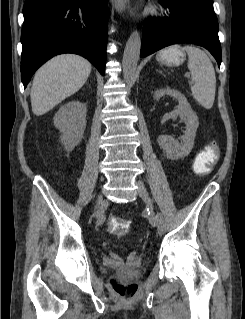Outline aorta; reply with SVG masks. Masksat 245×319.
<instances>
[{"label": "aorta", "mask_w": 245, "mask_h": 319, "mask_svg": "<svg viewBox=\"0 0 245 319\" xmlns=\"http://www.w3.org/2000/svg\"><path fill=\"white\" fill-rule=\"evenodd\" d=\"M141 49V37L140 33L135 30L131 33L126 43L124 54H123V76L124 79L129 82L133 79Z\"/></svg>", "instance_id": "1"}]
</instances>
